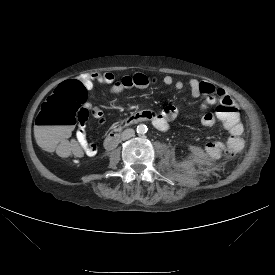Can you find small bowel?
<instances>
[{"mask_svg": "<svg viewBox=\"0 0 275 275\" xmlns=\"http://www.w3.org/2000/svg\"><path fill=\"white\" fill-rule=\"evenodd\" d=\"M78 80L81 81L86 88H91L94 83L112 84L114 81V76L111 73H97L93 75L87 74L79 76ZM162 82L164 85L170 86L176 90H181L184 87V83L182 81L176 80L170 75L164 76ZM188 87L193 97H199L201 95L206 96V98L199 105V112L201 115L200 120L206 127L214 126L217 122H219L216 112L214 113L208 111V109L214 105L216 101H219L220 104L225 101L235 104L226 91L221 88H217L208 82L190 79L188 81ZM87 107L90 110V115H92L100 123L104 122V115L99 107ZM178 115V108L173 105H169L163 110L157 105H152L148 107L145 112L147 121L152 123L160 131L168 130L170 123L174 121ZM227 131L230 135L228 139L224 136H217L212 141L207 143L205 152L208 157L212 159H220L224 156H231L242 150L244 144L242 137L244 127L242 122H240V125L236 129ZM76 141L81 154H85L90 157L96 155L98 148L92 139H89L87 136L86 122L79 123L76 131Z\"/></svg>", "mask_w": 275, "mask_h": 275, "instance_id": "small-bowel-1", "label": "small bowel"}]
</instances>
